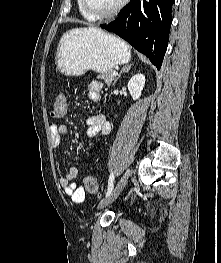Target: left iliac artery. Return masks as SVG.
I'll list each match as a JSON object with an SVG mask.
<instances>
[{"mask_svg":"<svg viewBox=\"0 0 221 263\" xmlns=\"http://www.w3.org/2000/svg\"><path fill=\"white\" fill-rule=\"evenodd\" d=\"M114 187V174L112 173L109 177V181H108V189H107V193H106V197L110 195V193L112 192Z\"/></svg>","mask_w":221,"mask_h":263,"instance_id":"obj_1","label":"left iliac artery"}]
</instances>
